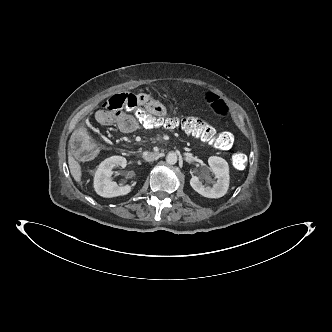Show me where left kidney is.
Instances as JSON below:
<instances>
[{"label":"left kidney","instance_id":"5707ae66","mask_svg":"<svg viewBox=\"0 0 332 332\" xmlns=\"http://www.w3.org/2000/svg\"><path fill=\"white\" fill-rule=\"evenodd\" d=\"M208 164L213 174L218 178V181L211 188L205 187L197 176H192L190 180L191 187L207 198H220L227 193L229 187V166L228 163L221 157L211 156L208 159Z\"/></svg>","mask_w":332,"mask_h":332}]
</instances>
